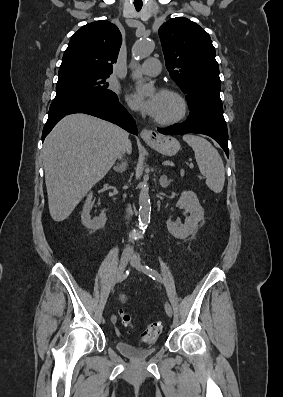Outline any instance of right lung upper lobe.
Segmentation results:
<instances>
[{
	"label": "right lung upper lobe",
	"instance_id": "1",
	"mask_svg": "<svg viewBox=\"0 0 283 397\" xmlns=\"http://www.w3.org/2000/svg\"><path fill=\"white\" fill-rule=\"evenodd\" d=\"M121 43L119 29L107 20L81 27L70 39L58 76L80 74L109 77Z\"/></svg>",
	"mask_w": 283,
	"mask_h": 397
}]
</instances>
